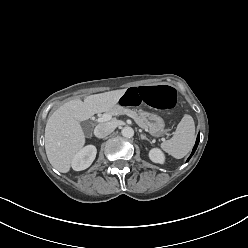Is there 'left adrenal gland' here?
Segmentation results:
<instances>
[{
	"label": "left adrenal gland",
	"mask_w": 248,
	"mask_h": 248,
	"mask_svg": "<svg viewBox=\"0 0 248 248\" xmlns=\"http://www.w3.org/2000/svg\"><path fill=\"white\" fill-rule=\"evenodd\" d=\"M141 132V131H140ZM140 137H141V139L142 140H147V141H149L150 142V140L146 137V135H144V134H140Z\"/></svg>",
	"instance_id": "1"
}]
</instances>
